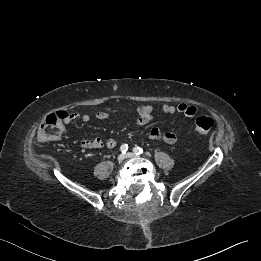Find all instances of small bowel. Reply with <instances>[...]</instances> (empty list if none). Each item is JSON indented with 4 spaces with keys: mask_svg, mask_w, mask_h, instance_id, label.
Returning <instances> with one entry per match:
<instances>
[{
    "mask_svg": "<svg viewBox=\"0 0 261 261\" xmlns=\"http://www.w3.org/2000/svg\"><path fill=\"white\" fill-rule=\"evenodd\" d=\"M162 111L165 114H175L177 112L182 113L187 118H192L197 113L195 106L184 103L178 104L177 106L165 104L162 107ZM136 112L138 114V118L136 119L135 124L138 126H143L153 119V107L150 105H139L136 108ZM95 116L98 120H106L110 117V113L107 111H99ZM78 119L84 123H88L91 117L88 114L79 115L74 113L70 115V121ZM148 137L153 141H162L167 144H174L177 141V136L174 132L161 131L156 127H153L149 130ZM80 143L82 147L87 149H101L103 147L115 148L118 145V141L114 138H110L104 141L98 137L92 139H82Z\"/></svg>",
    "mask_w": 261,
    "mask_h": 261,
    "instance_id": "c3829d8e",
    "label": "small bowel"
}]
</instances>
